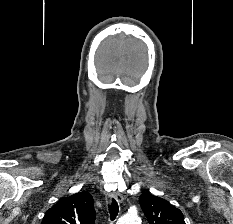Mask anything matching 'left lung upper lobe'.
Listing matches in <instances>:
<instances>
[{"label":"left lung upper lobe","mask_w":233,"mask_h":224,"mask_svg":"<svg viewBox=\"0 0 233 224\" xmlns=\"http://www.w3.org/2000/svg\"><path fill=\"white\" fill-rule=\"evenodd\" d=\"M139 202L150 224H185L182 212L165 199L143 193Z\"/></svg>","instance_id":"1"}]
</instances>
